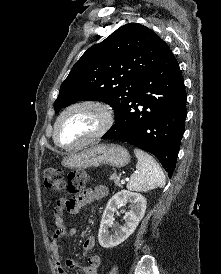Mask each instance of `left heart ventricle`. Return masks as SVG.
<instances>
[{
    "label": "left heart ventricle",
    "mask_w": 221,
    "mask_h": 274,
    "mask_svg": "<svg viewBox=\"0 0 221 274\" xmlns=\"http://www.w3.org/2000/svg\"><path fill=\"white\" fill-rule=\"evenodd\" d=\"M100 124L97 112L89 108L71 111L60 122L58 139L62 144H76L94 133Z\"/></svg>",
    "instance_id": "obj_1"
}]
</instances>
